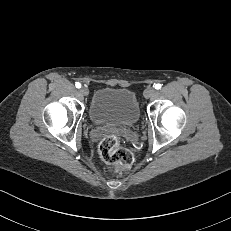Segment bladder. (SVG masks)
<instances>
[{"instance_id": "obj_1", "label": "bladder", "mask_w": 231, "mask_h": 231, "mask_svg": "<svg viewBox=\"0 0 231 231\" xmlns=\"http://www.w3.org/2000/svg\"><path fill=\"white\" fill-rule=\"evenodd\" d=\"M89 117L97 125L133 126L140 117L136 95L127 88L98 89L89 106Z\"/></svg>"}]
</instances>
